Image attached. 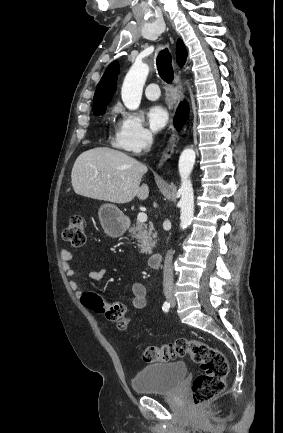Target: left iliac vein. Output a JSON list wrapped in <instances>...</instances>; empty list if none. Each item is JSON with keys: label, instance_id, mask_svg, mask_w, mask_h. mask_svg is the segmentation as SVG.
<instances>
[{"label": "left iliac vein", "instance_id": "4c4485c4", "mask_svg": "<svg viewBox=\"0 0 283 433\" xmlns=\"http://www.w3.org/2000/svg\"><path fill=\"white\" fill-rule=\"evenodd\" d=\"M174 306H175V299L173 298L172 307H174Z\"/></svg>", "mask_w": 283, "mask_h": 433}]
</instances>
